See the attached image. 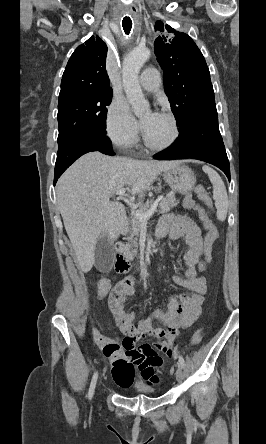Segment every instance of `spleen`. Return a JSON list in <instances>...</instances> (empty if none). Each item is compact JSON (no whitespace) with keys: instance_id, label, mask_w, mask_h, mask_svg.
Returning <instances> with one entry per match:
<instances>
[{"instance_id":"3e777b00","label":"spleen","mask_w":266,"mask_h":444,"mask_svg":"<svg viewBox=\"0 0 266 444\" xmlns=\"http://www.w3.org/2000/svg\"><path fill=\"white\" fill-rule=\"evenodd\" d=\"M203 171L208 174V177L213 185V199L217 208V217L224 221L228 210V195L224 182L219 174L208 166H203Z\"/></svg>"}]
</instances>
